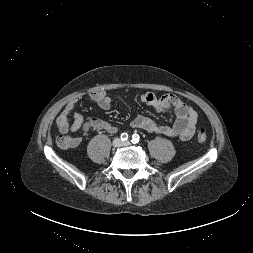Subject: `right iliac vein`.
<instances>
[{
    "mask_svg": "<svg viewBox=\"0 0 253 253\" xmlns=\"http://www.w3.org/2000/svg\"><path fill=\"white\" fill-rule=\"evenodd\" d=\"M112 145H113V147L117 148V147H120L122 145V142H121L120 139L116 138V139L113 140Z\"/></svg>",
    "mask_w": 253,
    "mask_h": 253,
    "instance_id": "obj_1",
    "label": "right iliac vein"
}]
</instances>
